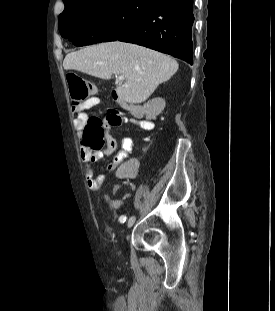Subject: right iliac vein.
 <instances>
[{
    "label": "right iliac vein",
    "mask_w": 275,
    "mask_h": 311,
    "mask_svg": "<svg viewBox=\"0 0 275 311\" xmlns=\"http://www.w3.org/2000/svg\"><path fill=\"white\" fill-rule=\"evenodd\" d=\"M136 217L135 216H131L128 221H127V226L128 228H131L133 226V224L135 223Z\"/></svg>",
    "instance_id": "right-iliac-vein-1"
}]
</instances>
